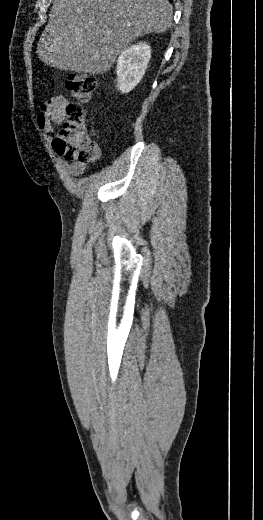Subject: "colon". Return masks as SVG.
<instances>
[{
	"mask_svg": "<svg viewBox=\"0 0 263 520\" xmlns=\"http://www.w3.org/2000/svg\"><path fill=\"white\" fill-rule=\"evenodd\" d=\"M96 79L88 74H70L66 86L75 102L66 108V119L53 141L55 151L67 160L90 162L97 159L99 147L85 131L86 104L96 89Z\"/></svg>",
	"mask_w": 263,
	"mask_h": 520,
	"instance_id": "1",
	"label": "colon"
}]
</instances>
